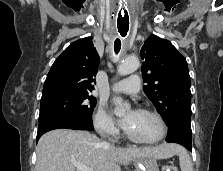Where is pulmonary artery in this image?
Listing matches in <instances>:
<instances>
[{
  "mask_svg": "<svg viewBox=\"0 0 223 171\" xmlns=\"http://www.w3.org/2000/svg\"><path fill=\"white\" fill-rule=\"evenodd\" d=\"M141 82L138 75H131L127 79L121 80L113 84L114 92L123 94H136L140 91Z\"/></svg>",
  "mask_w": 223,
  "mask_h": 171,
  "instance_id": "obj_1",
  "label": "pulmonary artery"
}]
</instances>
